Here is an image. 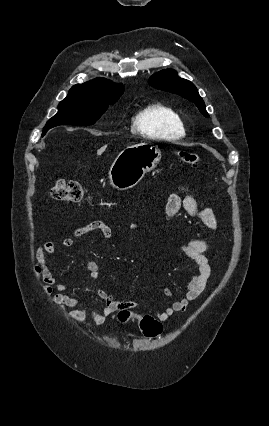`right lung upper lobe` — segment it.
<instances>
[{
  "label": "right lung upper lobe",
  "mask_w": 269,
  "mask_h": 426,
  "mask_svg": "<svg viewBox=\"0 0 269 426\" xmlns=\"http://www.w3.org/2000/svg\"><path fill=\"white\" fill-rule=\"evenodd\" d=\"M124 92L122 84H115L103 78L74 85L69 95H85L90 97L117 98Z\"/></svg>",
  "instance_id": "right-lung-upper-lobe-1"
}]
</instances>
